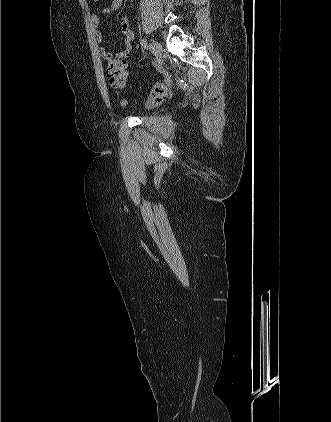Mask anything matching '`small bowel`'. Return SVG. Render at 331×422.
<instances>
[{"instance_id":"1","label":"small bowel","mask_w":331,"mask_h":422,"mask_svg":"<svg viewBox=\"0 0 331 422\" xmlns=\"http://www.w3.org/2000/svg\"><path fill=\"white\" fill-rule=\"evenodd\" d=\"M94 1L97 2L98 0H94ZM123 1L124 0H112L110 3V6L102 10V14H110L114 11H118L122 7ZM120 21L122 25V33H123L125 47L121 51L117 53H113L106 46V41L103 37V32L101 29L99 16L97 14L91 15V24H92L94 33L96 35L97 41L99 43L101 56L107 62L114 58H120L125 61V59L129 57L132 50V42L134 41L135 33L130 28L128 19L126 17H122Z\"/></svg>"}]
</instances>
